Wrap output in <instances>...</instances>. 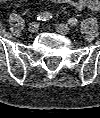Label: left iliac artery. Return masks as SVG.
<instances>
[{
	"mask_svg": "<svg viewBox=\"0 0 100 118\" xmlns=\"http://www.w3.org/2000/svg\"><path fill=\"white\" fill-rule=\"evenodd\" d=\"M68 24H69L70 26H72V27H75V26H77V24H78V20H77L76 18H70V19L68 20Z\"/></svg>",
	"mask_w": 100,
	"mask_h": 118,
	"instance_id": "left-iliac-artery-1",
	"label": "left iliac artery"
}]
</instances>
